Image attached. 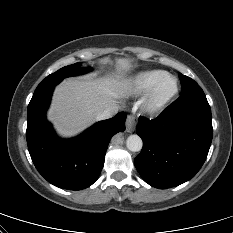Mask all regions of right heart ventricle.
<instances>
[{
  "instance_id": "1",
  "label": "right heart ventricle",
  "mask_w": 233,
  "mask_h": 233,
  "mask_svg": "<svg viewBox=\"0 0 233 233\" xmlns=\"http://www.w3.org/2000/svg\"><path fill=\"white\" fill-rule=\"evenodd\" d=\"M164 74L166 73L162 70L140 72L128 80L125 86V91L128 95H138L147 92Z\"/></svg>"
}]
</instances>
